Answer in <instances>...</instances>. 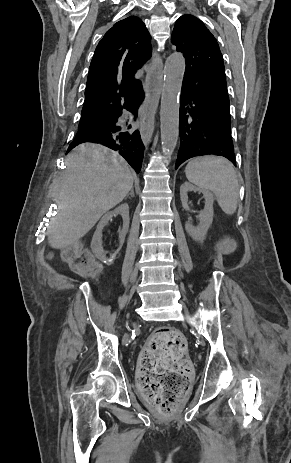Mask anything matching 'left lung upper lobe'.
Wrapping results in <instances>:
<instances>
[{
  "mask_svg": "<svg viewBox=\"0 0 291 463\" xmlns=\"http://www.w3.org/2000/svg\"><path fill=\"white\" fill-rule=\"evenodd\" d=\"M171 41L186 61L182 90L230 117L223 57L211 32L198 18L183 15L176 21Z\"/></svg>",
  "mask_w": 291,
  "mask_h": 463,
  "instance_id": "left-lung-upper-lobe-1",
  "label": "left lung upper lobe"
}]
</instances>
